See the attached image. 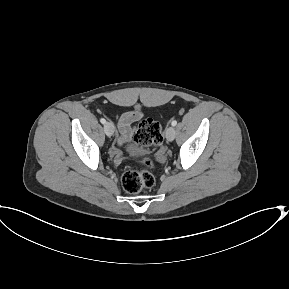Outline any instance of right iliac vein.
Returning <instances> with one entry per match:
<instances>
[{"label":"right iliac vein","instance_id":"63e3f726","mask_svg":"<svg viewBox=\"0 0 289 289\" xmlns=\"http://www.w3.org/2000/svg\"><path fill=\"white\" fill-rule=\"evenodd\" d=\"M104 131H105L107 136H112L114 134V131H115L113 124L110 122L105 123Z\"/></svg>","mask_w":289,"mask_h":289}]
</instances>
